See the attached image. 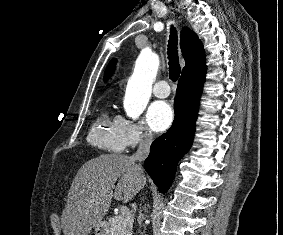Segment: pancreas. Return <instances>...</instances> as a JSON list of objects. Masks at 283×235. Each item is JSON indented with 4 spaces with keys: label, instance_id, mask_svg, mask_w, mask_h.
Masks as SVG:
<instances>
[{
    "label": "pancreas",
    "instance_id": "cf45deb5",
    "mask_svg": "<svg viewBox=\"0 0 283 235\" xmlns=\"http://www.w3.org/2000/svg\"><path fill=\"white\" fill-rule=\"evenodd\" d=\"M133 216L118 215L109 219L112 235H132Z\"/></svg>",
    "mask_w": 283,
    "mask_h": 235
}]
</instances>
